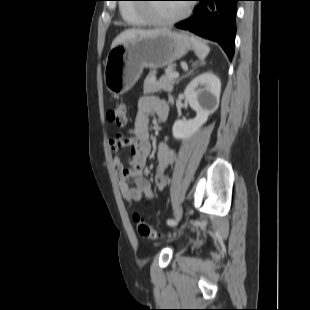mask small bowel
Here are the masks:
<instances>
[{
    "label": "small bowel",
    "instance_id": "1",
    "mask_svg": "<svg viewBox=\"0 0 310 310\" xmlns=\"http://www.w3.org/2000/svg\"><path fill=\"white\" fill-rule=\"evenodd\" d=\"M156 114L164 121L168 115L165 101L155 96H143L137 104V114L132 127L126 134L117 133L109 139V146L113 152V163L118 176L119 189L128 204L152 200L155 197L150 182L144 176V168L151 150L149 117ZM130 147L131 157L129 167H125L121 150ZM177 159L176 152L166 142H161L157 148L158 168L155 184L159 191H163L168 183L166 169Z\"/></svg>",
    "mask_w": 310,
    "mask_h": 310
}]
</instances>
